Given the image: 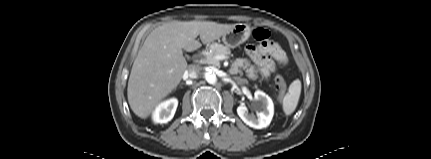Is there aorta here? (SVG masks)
Returning a JSON list of instances; mask_svg holds the SVG:
<instances>
[{"instance_id": "obj_1", "label": "aorta", "mask_w": 431, "mask_h": 159, "mask_svg": "<svg viewBox=\"0 0 431 159\" xmlns=\"http://www.w3.org/2000/svg\"><path fill=\"white\" fill-rule=\"evenodd\" d=\"M205 80L210 84L216 83V75L213 72H206L205 73Z\"/></svg>"}]
</instances>
